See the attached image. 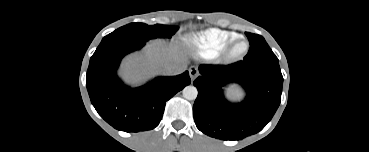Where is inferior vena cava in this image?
Instances as JSON below:
<instances>
[{
    "label": "inferior vena cava",
    "mask_w": 369,
    "mask_h": 152,
    "mask_svg": "<svg viewBox=\"0 0 369 152\" xmlns=\"http://www.w3.org/2000/svg\"><path fill=\"white\" fill-rule=\"evenodd\" d=\"M185 68H186L185 66H181V65L166 64L164 66V72L169 75H176V74L183 72Z\"/></svg>",
    "instance_id": "inferior-vena-cava-1"
}]
</instances>
